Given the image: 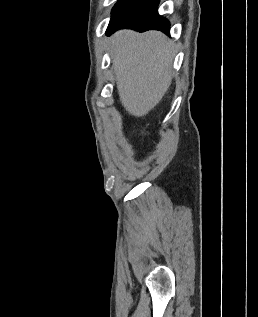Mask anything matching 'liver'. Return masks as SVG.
<instances>
[{"mask_svg": "<svg viewBox=\"0 0 258 317\" xmlns=\"http://www.w3.org/2000/svg\"><path fill=\"white\" fill-rule=\"evenodd\" d=\"M175 42L159 30H118L110 50L120 100L134 116L154 108L172 80Z\"/></svg>", "mask_w": 258, "mask_h": 317, "instance_id": "1", "label": "liver"}]
</instances>
